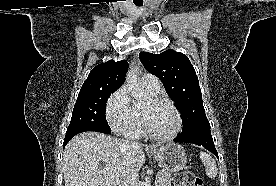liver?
<instances>
[{"label":"liver","mask_w":276,"mask_h":186,"mask_svg":"<svg viewBox=\"0 0 276 186\" xmlns=\"http://www.w3.org/2000/svg\"><path fill=\"white\" fill-rule=\"evenodd\" d=\"M99 161L105 163L104 168H98ZM144 162L141 145H125L102 133L83 132L64 149L65 186H122L130 175H138Z\"/></svg>","instance_id":"obj_1"}]
</instances>
